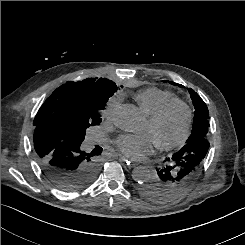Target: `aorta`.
<instances>
[{
  "mask_svg": "<svg viewBox=\"0 0 245 245\" xmlns=\"http://www.w3.org/2000/svg\"><path fill=\"white\" fill-rule=\"evenodd\" d=\"M115 123L121 130L130 133H138L145 126V118L132 104H122L115 114ZM155 176L154 172L147 167L139 166L133 170L132 177L138 183H144Z\"/></svg>",
  "mask_w": 245,
  "mask_h": 245,
  "instance_id": "aorta-1",
  "label": "aorta"
}]
</instances>
